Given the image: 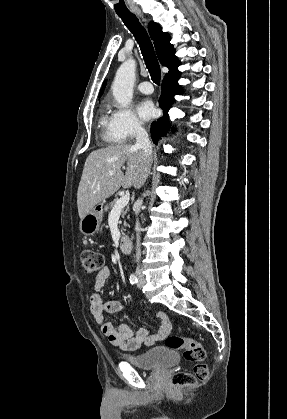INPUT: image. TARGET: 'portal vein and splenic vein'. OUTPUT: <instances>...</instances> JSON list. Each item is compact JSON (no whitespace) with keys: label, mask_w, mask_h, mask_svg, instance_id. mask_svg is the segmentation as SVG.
Here are the masks:
<instances>
[{"label":"portal vein and splenic vein","mask_w":287,"mask_h":419,"mask_svg":"<svg viewBox=\"0 0 287 419\" xmlns=\"http://www.w3.org/2000/svg\"><path fill=\"white\" fill-rule=\"evenodd\" d=\"M113 172L109 171V175H112ZM130 200V194L126 193L125 195L121 196L115 203L114 207L112 208L111 212L122 210Z\"/></svg>","instance_id":"1"}]
</instances>
